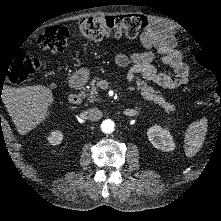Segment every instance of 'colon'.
<instances>
[{"mask_svg": "<svg viewBox=\"0 0 221 221\" xmlns=\"http://www.w3.org/2000/svg\"><path fill=\"white\" fill-rule=\"evenodd\" d=\"M77 27L87 38L102 41L105 38L122 35L137 37L143 31L152 28V24L142 15L94 16L79 20ZM38 44L51 54L62 52L70 44L69 29L65 26L49 28L40 35ZM194 62L202 69H210L209 60L203 55H196ZM45 72V67L38 56H19L9 68L8 79L11 84H21Z\"/></svg>", "mask_w": 221, "mask_h": 221, "instance_id": "obj_1", "label": "colon"}]
</instances>
